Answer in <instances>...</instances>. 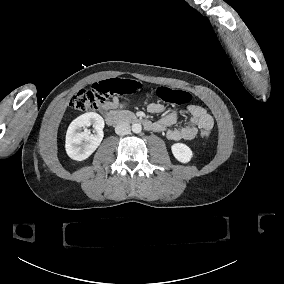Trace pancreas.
Masks as SVG:
<instances>
[{
	"instance_id": "pancreas-1",
	"label": "pancreas",
	"mask_w": 284,
	"mask_h": 284,
	"mask_svg": "<svg viewBox=\"0 0 284 284\" xmlns=\"http://www.w3.org/2000/svg\"><path fill=\"white\" fill-rule=\"evenodd\" d=\"M118 114L122 117L134 116V113L130 111H119Z\"/></svg>"
}]
</instances>
